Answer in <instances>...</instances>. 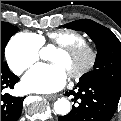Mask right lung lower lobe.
Masks as SVG:
<instances>
[{
    "mask_svg": "<svg viewBox=\"0 0 121 121\" xmlns=\"http://www.w3.org/2000/svg\"><path fill=\"white\" fill-rule=\"evenodd\" d=\"M19 78L8 68L1 65V121H16L22 112L24 97H13L8 93L2 94L5 88H13Z\"/></svg>",
    "mask_w": 121,
    "mask_h": 121,
    "instance_id": "98d812e1",
    "label": "right lung lower lobe"
}]
</instances>
